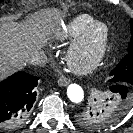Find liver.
Segmentation results:
<instances>
[{
  "mask_svg": "<svg viewBox=\"0 0 133 133\" xmlns=\"http://www.w3.org/2000/svg\"><path fill=\"white\" fill-rule=\"evenodd\" d=\"M56 13L40 12L24 22L12 17L0 19V80L28 62L34 51H39L55 31Z\"/></svg>",
  "mask_w": 133,
  "mask_h": 133,
  "instance_id": "liver-1",
  "label": "liver"
}]
</instances>
